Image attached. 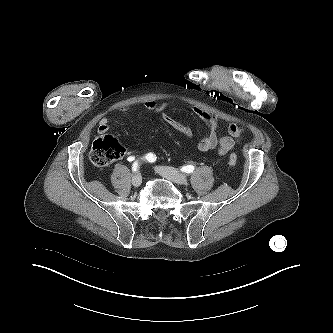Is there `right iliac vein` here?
Segmentation results:
<instances>
[{
  "instance_id": "1",
  "label": "right iliac vein",
  "mask_w": 333,
  "mask_h": 333,
  "mask_svg": "<svg viewBox=\"0 0 333 333\" xmlns=\"http://www.w3.org/2000/svg\"><path fill=\"white\" fill-rule=\"evenodd\" d=\"M142 183V176L140 173H137L135 174L133 177H132V184L135 186V187H139Z\"/></svg>"
}]
</instances>
